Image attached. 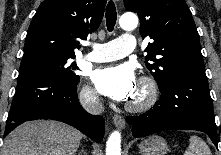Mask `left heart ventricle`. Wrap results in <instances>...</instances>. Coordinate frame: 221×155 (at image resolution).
<instances>
[{
  "label": "left heart ventricle",
  "instance_id": "left-heart-ventricle-1",
  "mask_svg": "<svg viewBox=\"0 0 221 155\" xmlns=\"http://www.w3.org/2000/svg\"><path fill=\"white\" fill-rule=\"evenodd\" d=\"M141 94H142V91H141L140 87L137 86V89H136V91H135L133 97L130 99V101H136V100H138V99L141 97Z\"/></svg>",
  "mask_w": 221,
  "mask_h": 155
}]
</instances>
